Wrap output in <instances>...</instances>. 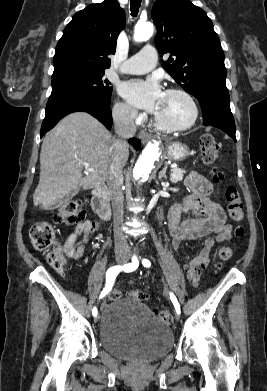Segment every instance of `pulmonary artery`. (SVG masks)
I'll return each mask as SVG.
<instances>
[{
    "instance_id": "pulmonary-artery-1",
    "label": "pulmonary artery",
    "mask_w": 267,
    "mask_h": 391,
    "mask_svg": "<svg viewBox=\"0 0 267 391\" xmlns=\"http://www.w3.org/2000/svg\"><path fill=\"white\" fill-rule=\"evenodd\" d=\"M156 63V49L151 45H146L137 54L125 61L120 70L126 74H143L153 69Z\"/></svg>"
}]
</instances>
